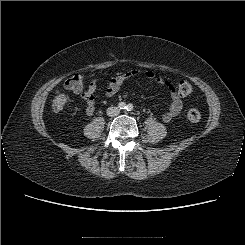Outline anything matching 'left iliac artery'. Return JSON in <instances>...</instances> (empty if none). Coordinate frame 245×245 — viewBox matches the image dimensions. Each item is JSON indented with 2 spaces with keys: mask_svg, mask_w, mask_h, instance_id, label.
Masks as SVG:
<instances>
[{
  "mask_svg": "<svg viewBox=\"0 0 245 245\" xmlns=\"http://www.w3.org/2000/svg\"><path fill=\"white\" fill-rule=\"evenodd\" d=\"M126 109H127V111H132L133 110V105L132 104H128Z\"/></svg>",
  "mask_w": 245,
  "mask_h": 245,
  "instance_id": "left-iliac-artery-1",
  "label": "left iliac artery"
}]
</instances>
